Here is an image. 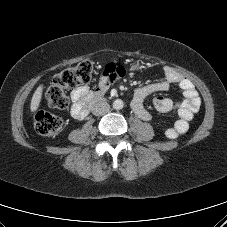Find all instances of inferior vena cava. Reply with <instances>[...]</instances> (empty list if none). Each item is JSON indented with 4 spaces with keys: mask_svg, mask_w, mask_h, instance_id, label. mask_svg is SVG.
Listing matches in <instances>:
<instances>
[{
    "mask_svg": "<svg viewBox=\"0 0 227 227\" xmlns=\"http://www.w3.org/2000/svg\"><path fill=\"white\" fill-rule=\"evenodd\" d=\"M110 111V105L106 102H97L92 107V113L95 116H102Z\"/></svg>",
    "mask_w": 227,
    "mask_h": 227,
    "instance_id": "602c4592",
    "label": "inferior vena cava"
}]
</instances>
